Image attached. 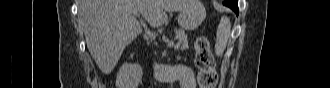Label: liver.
Here are the masks:
<instances>
[{
	"label": "liver",
	"instance_id": "liver-1",
	"mask_svg": "<svg viewBox=\"0 0 330 88\" xmlns=\"http://www.w3.org/2000/svg\"><path fill=\"white\" fill-rule=\"evenodd\" d=\"M191 0H80L79 19L86 45L99 69L109 74L124 49L142 33L137 12L152 27L167 21V12L186 9Z\"/></svg>",
	"mask_w": 330,
	"mask_h": 88
}]
</instances>
